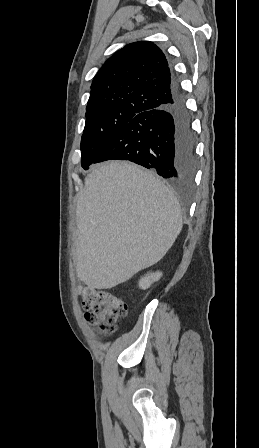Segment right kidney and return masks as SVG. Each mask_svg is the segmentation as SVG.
<instances>
[{
    "label": "right kidney",
    "mask_w": 259,
    "mask_h": 448,
    "mask_svg": "<svg viewBox=\"0 0 259 448\" xmlns=\"http://www.w3.org/2000/svg\"><path fill=\"white\" fill-rule=\"evenodd\" d=\"M161 276V272H155V274H147L145 278H141V280H139L138 286L139 288H141V290H147V288H150L153 282H157V280H160Z\"/></svg>",
    "instance_id": "obj_1"
}]
</instances>
